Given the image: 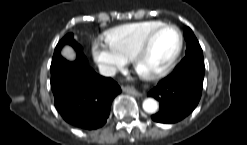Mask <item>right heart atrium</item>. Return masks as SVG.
Returning <instances> with one entry per match:
<instances>
[{"instance_id": "1", "label": "right heart atrium", "mask_w": 247, "mask_h": 145, "mask_svg": "<svg viewBox=\"0 0 247 145\" xmlns=\"http://www.w3.org/2000/svg\"><path fill=\"white\" fill-rule=\"evenodd\" d=\"M91 53L95 63L107 73H113L126 63V58L107 41L95 40L91 46Z\"/></svg>"}]
</instances>
